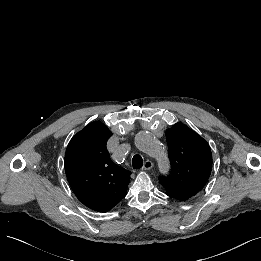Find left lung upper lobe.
I'll return each mask as SVG.
<instances>
[{"label":"left lung upper lobe","instance_id":"5c2ea615","mask_svg":"<svg viewBox=\"0 0 261 261\" xmlns=\"http://www.w3.org/2000/svg\"><path fill=\"white\" fill-rule=\"evenodd\" d=\"M171 172L159 181L167 193L183 198L196 195L211 173L212 154L209 144L182 123L166 130Z\"/></svg>","mask_w":261,"mask_h":261}]
</instances>
